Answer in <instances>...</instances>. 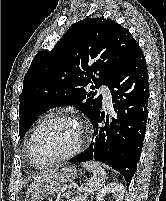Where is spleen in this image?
<instances>
[{
    "label": "spleen",
    "mask_w": 166,
    "mask_h": 201,
    "mask_svg": "<svg viewBox=\"0 0 166 201\" xmlns=\"http://www.w3.org/2000/svg\"><path fill=\"white\" fill-rule=\"evenodd\" d=\"M83 167L91 171L93 176L91 180L86 183L85 188H83L84 195H80L76 201H86L87 195L90 193L93 194L94 191L99 190L105 184L107 178L105 170L96 162L84 163Z\"/></svg>",
    "instance_id": "obj_1"
}]
</instances>
